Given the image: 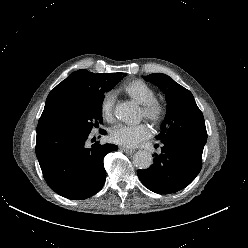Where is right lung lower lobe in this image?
Masks as SVG:
<instances>
[{"label":"right lung lower lobe","mask_w":248,"mask_h":248,"mask_svg":"<svg viewBox=\"0 0 248 248\" xmlns=\"http://www.w3.org/2000/svg\"><path fill=\"white\" fill-rule=\"evenodd\" d=\"M89 134L70 129L37 132L36 155L43 176L53 191L68 199L81 200L96 194L106 179L103 158L118 149L114 144L99 142L88 147Z\"/></svg>","instance_id":"right-lung-lower-lobe-1"}]
</instances>
